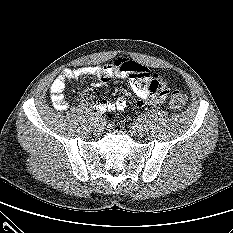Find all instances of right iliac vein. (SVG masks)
Instances as JSON below:
<instances>
[{
    "instance_id": "right-iliac-vein-1",
    "label": "right iliac vein",
    "mask_w": 233,
    "mask_h": 233,
    "mask_svg": "<svg viewBox=\"0 0 233 233\" xmlns=\"http://www.w3.org/2000/svg\"><path fill=\"white\" fill-rule=\"evenodd\" d=\"M103 127H104V125H103L102 120L95 121V130L97 132L100 133L103 130Z\"/></svg>"
}]
</instances>
